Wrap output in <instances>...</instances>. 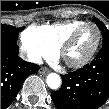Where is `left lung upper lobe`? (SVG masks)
Returning <instances> with one entry per match:
<instances>
[{
  "mask_svg": "<svg viewBox=\"0 0 109 109\" xmlns=\"http://www.w3.org/2000/svg\"><path fill=\"white\" fill-rule=\"evenodd\" d=\"M94 22L96 23V25L99 27V29L102 32V36H103V44L102 46H107L109 45V30L106 28V26L97 18L93 17Z\"/></svg>",
  "mask_w": 109,
  "mask_h": 109,
  "instance_id": "5c2ea615",
  "label": "left lung upper lobe"
}]
</instances>
